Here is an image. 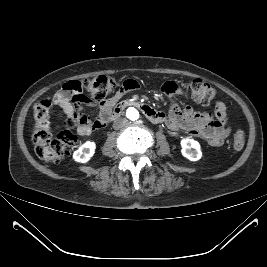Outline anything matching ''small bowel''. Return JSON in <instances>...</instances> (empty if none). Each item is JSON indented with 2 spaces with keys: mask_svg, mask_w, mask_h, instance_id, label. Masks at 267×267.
Here are the masks:
<instances>
[{
  "mask_svg": "<svg viewBox=\"0 0 267 267\" xmlns=\"http://www.w3.org/2000/svg\"><path fill=\"white\" fill-rule=\"evenodd\" d=\"M139 87L138 81L134 79L125 80L118 92L99 106V115L94 121L84 113V106L91 105V103L82 93L79 81L73 80L63 84L62 88L55 94L54 102L68 118H74L79 121L78 134L88 136L94 130L105 125L111 109L124 93L136 90ZM161 92L168 98H172L175 95L188 96L186 89L175 81H166L161 87ZM165 123L172 131L188 132L205 140L212 146H221L230 132V128L227 125L226 107L222 102L216 103L213 113L196 112L190 106L181 108L172 103L165 118Z\"/></svg>",
  "mask_w": 267,
  "mask_h": 267,
  "instance_id": "obj_1",
  "label": "small bowel"
}]
</instances>
